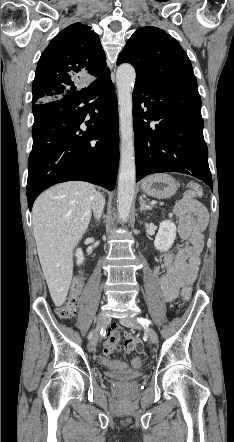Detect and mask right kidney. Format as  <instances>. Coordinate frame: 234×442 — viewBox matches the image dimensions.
Wrapping results in <instances>:
<instances>
[{
	"label": "right kidney",
	"instance_id": "1",
	"mask_svg": "<svg viewBox=\"0 0 234 442\" xmlns=\"http://www.w3.org/2000/svg\"><path fill=\"white\" fill-rule=\"evenodd\" d=\"M76 258H77V265H81L84 261V256H83V252L80 248H78L76 250V254H75Z\"/></svg>",
	"mask_w": 234,
	"mask_h": 442
}]
</instances>
